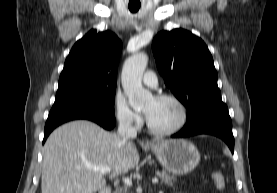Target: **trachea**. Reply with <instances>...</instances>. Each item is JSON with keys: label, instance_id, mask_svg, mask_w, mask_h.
<instances>
[{"label": "trachea", "instance_id": "trachea-1", "mask_svg": "<svg viewBox=\"0 0 277 193\" xmlns=\"http://www.w3.org/2000/svg\"><path fill=\"white\" fill-rule=\"evenodd\" d=\"M140 6H129V10L133 13L137 12L139 10Z\"/></svg>", "mask_w": 277, "mask_h": 193}]
</instances>
